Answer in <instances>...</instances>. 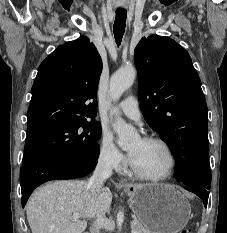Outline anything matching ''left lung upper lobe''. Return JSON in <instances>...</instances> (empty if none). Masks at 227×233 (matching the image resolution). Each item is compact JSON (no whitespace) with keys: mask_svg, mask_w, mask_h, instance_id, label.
<instances>
[{"mask_svg":"<svg viewBox=\"0 0 227 233\" xmlns=\"http://www.w3.org/2000/svg\"><path fill=\"white\" fill-rule=\"evenodd\" d=\"M134 62L140 108L170 147L176 159V179L208 192V110L188 52L171 38L151 35L135 48Z\"/></svg>","mask_w":227,"mask_h":233,"instance_id":"1","label":"left lung upper lobe"}]
</instances>
